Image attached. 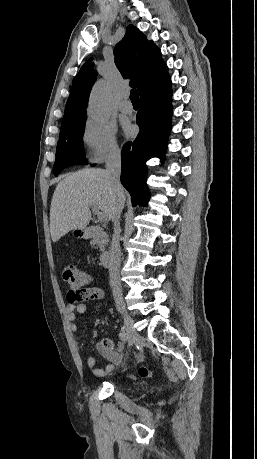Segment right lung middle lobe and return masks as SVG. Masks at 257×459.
I'll return each instance as SVG.
<instances>
[{
    "label": "right lung middle lobe",
    "mask_w": 257,
    "mask_h": 459,
    "mask_svg": "<svg viewBox=\"0 0 257 459\" xmlns=\"http://www.w3.org/2000/svg\"><path fill=\"white\" fill-rule=\"evenodd\" d=\"M85 121L59 135L56 149V160L53 166L54 174L70 166L87 164L83 151V133Z\"/></svg>",
    "instance_id": "right-lung-middle-lobe-1"
}]
</instances>
